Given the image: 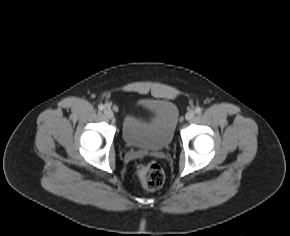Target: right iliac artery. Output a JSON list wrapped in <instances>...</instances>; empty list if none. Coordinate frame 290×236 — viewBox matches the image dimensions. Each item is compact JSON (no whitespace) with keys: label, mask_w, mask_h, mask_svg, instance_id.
<instances>
[{"label":"right iliac artery","mask_w":290,"mask_h":236,"mask_svg":"<svg viewBox=\"0 0 290 236\" xmlns=\"http://www.w3.org/2000/svg\"><path fill=\"white\" fill-rule=\"evenodd\" d=\"M98 108H99V110H103L104 106L103 105H99Z\"/></svg>","instance_id":"82829eb1"}]
</instances>
